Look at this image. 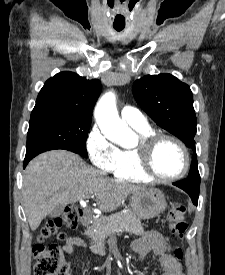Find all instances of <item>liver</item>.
Returning <instances> with one entry per match:
<instances>
[{"mask_svg":"<svg viewBox=\"0 0 225 275\" xmlns=\"http://www.w3.org/2000/svg\"><path fill=\"white\" fill-rule=\"evenodd\" d=\"M146 188L110 179L75 153L52 150L36 156L23 176V205L32 231L58 205L95 195L103 212L116 210L130 195Z\"/></svg>","mask_w":225,"mask_h":275,"instance_id":"liver-1","label":"liver"}]
</instances>
